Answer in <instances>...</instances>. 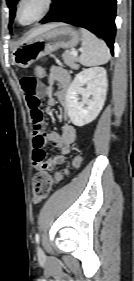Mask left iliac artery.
I'll list each match as a JSON object with an SVG mask.
<instances>
[{"label":"left iliac artery","instance_id":"44dca946","mask_svg":"<svg viewBox=\"0 0 134 281\" xmlns=\"http://www.w3.org/2000/svg\"><path fill=\"white\" fill-rule=\"evenodd\" d=\"M39 239H40V237H39V234L37 233V234L35 235V241H36V243H39Z\"/></svg>","mask_w":134,"mask_h":281}]
</instances>
